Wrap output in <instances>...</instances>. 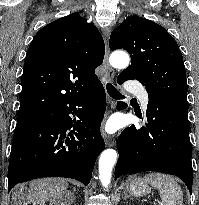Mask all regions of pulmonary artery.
I'll use <instances>...</instances> for the list:
<instances>
[{
  "label": "pulmonary artery",
  "mask_w": 199,
  "mask_h": 205,
  "mask_svg": "<svg viewBox=\"0 0 199 205\" xmlns=\"http://www.w3.org/2000/svg\"><path fill=\"white\" fill-rule=\"evenodd\" d=\"M128 90L138 96L141 106L143 109H146L149 102V97L146 90L144 88L136 87L132 84L128 86Z\"/></svg>",
  "instance_id": "pulmonary-artery-1"
}]
</instances>
